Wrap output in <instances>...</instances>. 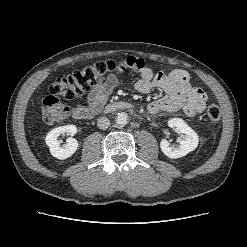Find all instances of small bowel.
<instances>
[{
    "label": "small bowel",
    "instance_id": "c3829d8e",
    "mask_svg": "<svg viewBox=\"0 0 247 247\" xmlns=\"http://www.w3.org/2000/svg\"><path fill=\"white\" fill-rule=\"evenodd\" d=\"M129 68L134 69L140 79L135 88L141 93H148L153 89H161L166 95L149 103L151 113L176 112L182 110L186 115L194 117L203 112L206 105V93L190 83L189 74L182 69L169 72L154 73L145 62L136 57H128ZM119 81L117 73L110 74L105 81L97 84L88 95L87 105H75L72 116L77 119H89L104 105L109 95L116 88Z\"/></svg>",
    "mask_w": 247,
    "mask_h": 247
}]
</instances>
